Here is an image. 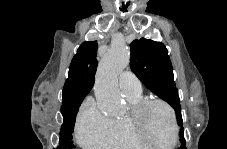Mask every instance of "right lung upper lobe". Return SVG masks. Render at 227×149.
Listing matches in <instances>:
<instances>
[{
  "mask_svg": "<svg viewBox=\"0 0 227 149\" xmlns=\"http://www.w3.org/2000/svg\"><path fill=\"white\" fill-rule=\"evenodd\" d=\"M97 41L83 42L69 67L62 92V106L73 104L90 92L97 69Z\"/></svg>",
  "mask_w": 227,
  "mask_h": 149,
  "instance_id": "right-lung-upper-lobe-1",
  "label": "right lung upper lobe"
}]
</instances>
